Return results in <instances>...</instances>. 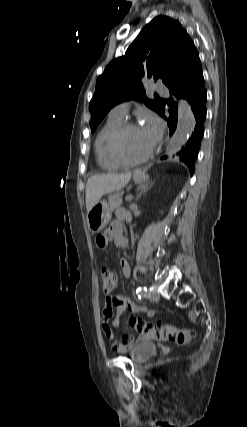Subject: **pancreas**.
Instances as JSON below:
<instances>
[{"label": "pancreas", "mask_w": 247, "mask_h": 427, "mask_svg": "<svg viewBox=\"0 0 247 427\" xmlns=\"http://www.w3.org/2000/svg\"><path fill=\"white\" fill-rule=\"evenodd\" d=\"M122 194H115L109 196V206L111 210L118 208L122 205Z\"/></svg>", "instance_id": "obj_1"}]
</instances>
